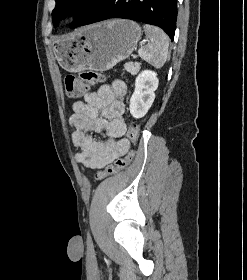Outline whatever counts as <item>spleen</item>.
Listing matches in <instances>:
<instances>
[{"label":"spleen","instance_id":"obj_1","mask_svg":"<svg viewBox=\"0 0 247 280\" xmlns=\"http://www.w3.org/2000/svg\"><path fill=\"white\" fill-rule=\"evenodd\" d=\"M149 42L138 50L139 56L155 68H161L168 58L169 39L166 33L155 26H143Z\"/></svg>","mask_w":247,"mask_h":280}]
</instances>
